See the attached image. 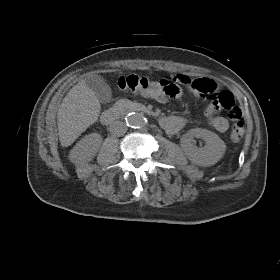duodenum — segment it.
Listing matches in <instances>:
<instances>
[{
    "label": "duodenum",
    "mask_w": 280,
    "mask_h": 280,
    "mask_svg": "<svg viewBox=\"0 0 280 280\" xmlns=\"http://www.w3.org/2000/svg\"><path fill=\"white\" fill-rule=\"evenodd\" d=\"M142 108L138 105L129 106V107H113L110 109H107L103 112L101 116V122L104 125H111L114 123L125 111L127 110H141ZM160 125L164 121V117L160 118Z\"/></svg>",
    "instance_id": "duodenum-1"
}]
</instances>
